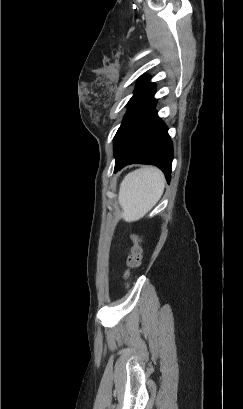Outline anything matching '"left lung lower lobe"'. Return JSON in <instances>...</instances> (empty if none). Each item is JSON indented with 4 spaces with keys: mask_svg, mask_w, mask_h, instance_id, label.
I'll return each instance as SVG.
<instances>
[{
    "mask_svg": "<svg viewBox=\"0 0 243 409\" xmlns=\"http://www.w3.org/2000/svg\"><path fill=\"white\" fill-rule=\"evenodd\" d=\"M154 84L147 83L129 105V109L115 135L118 146L114 172L132 163L159 167L169 183L173 146L166 125L154 111Z\"/></svg>",
    "mask_w": 243,
    "mask_h": 409,
    "instance_id": "obj_1",
    "label": "left lung lower lobe"
}]
</instances>
